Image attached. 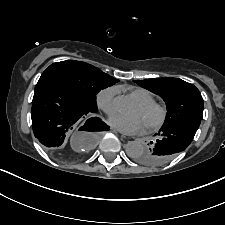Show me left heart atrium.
<instances>
[{
  "label": "left heart atrium",
  "mask_w": 225,
  "mask_h": 225,
  "mask_svg": "<svg viewBox=\"0 0 225 225\" xmlns=\"http://www.w3.org/2000/svg\"><path fill=\"white\" fill-rule=\"evenodd\" d=\"M110 124L117 128L118 130L129 133V134H139L147 129V122L140 116L126 117L123 115H114L109 120Z\"/></svg>",
  "instance_id": "1"
}]
</instances>
